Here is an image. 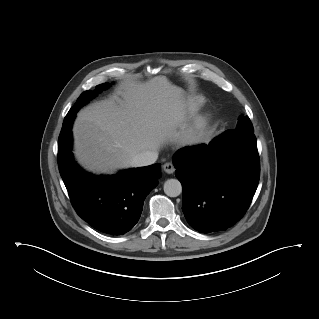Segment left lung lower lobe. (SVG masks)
I'll return each instance as SVG.
<instances>
[{
  "label": "left lung lower lobe",
  "mask_w": 319,
  "mask_h": 319,
  "mask_svg": "<svg viewBox=\"0 0 319 319\" xmlns=\"http://www.w3.org/2000/svg\"><path fill=\"white\" fill-rule=\"evenodd\" d=\"M173 162L191 227L201 233L223 231L241 219L259 182L254 134L227 130L209 145L179 149Z\"/></svg>",
  "instance_id": "1"
}]
</instances>
